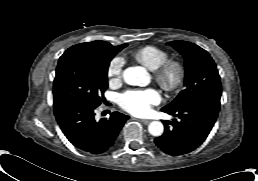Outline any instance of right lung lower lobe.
Segmentation results:
<instances>
[{
    "instance_id": "obj_1",
    "label": "right lung lower lobe",
    "mask_w": 258,
    "mask_h": 181,
    "mask_svg": "<svg viewBox=\"0 0 258 181\" xmlns=\"http://www.w3.org/2000/svg\"><path fill=\"white\" fill-rule=\"evenodd\" d=\"M95 108L75 102L54 105V114L67 139L78 149L100 154L107 151L122 129L128 116L114 112L97 122Z\"/></svg>"
}]
</instances>
